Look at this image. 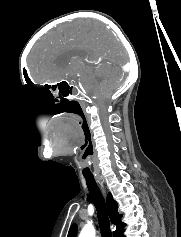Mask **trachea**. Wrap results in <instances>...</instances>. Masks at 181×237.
<instances>
[{
  "mask_svg": "<svg viewBox=\"0 0 181 237\" xmlns=\"http://www.w3.org/2000/svg\"><path fill=\"white\" fill-rule=\"evenodd\" d=\"M85 179L89 190L90 198L97 210L101 235L102 237H112L110 230V221L108 218L105 201L100 192V189L98 188L94 178L85 177Z\"/></svg>",
  "mask_w": 181,
  "mask_h": 237,
  "instance_id": "1",
  "label": "trachea"
}]
</instances>
